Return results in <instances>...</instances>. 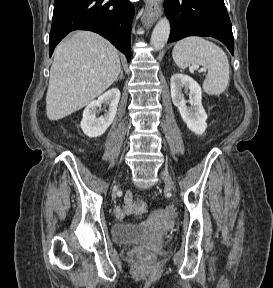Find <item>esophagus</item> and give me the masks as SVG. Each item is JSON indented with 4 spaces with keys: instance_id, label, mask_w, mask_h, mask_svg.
Wrapping results in <instances>:
<instances>
[{
    "instance_id": "obj_1",
    "label": "esophagus",
    "mask_w": 273,
    "mask_h": 288,
    "mask_svg": "<svg viewBox=\"0 0 273 288\" xmlns=\"http://www.w3.org/2000/svg\"><path fill=\"white\" fill-rule=\"evenodd\" d=\"M161 14V0H145L143 21L146 24H153L161 16Z\"/></svg>"
}]
</instances>
